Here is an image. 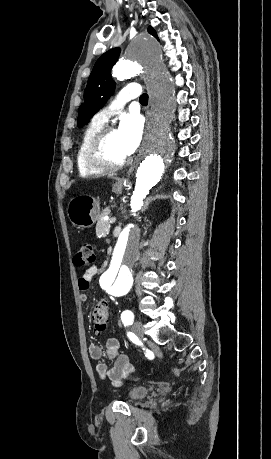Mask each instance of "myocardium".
Returning a JSON list of instances; mask_svg holds the SVG:
<instances>
[{
  "instance_id": "1",
  "label": "myocardium",
  "mask_w": 271,
  "mask_h": 459,
  "mask_svg": "<svg viewBox=\"0 0 271 459\" xmlns=\"http://www.w3.org/2000/svg\"><path fill=\"white\" fill-rule=\"evenodd\" d=\"M114 126H106L97 131L87 142L84 155L89 165L97 168L114 169L123 165L129 158V154L124 156H114L108 148V140Z\"/></svg>"
}]
</instances>
